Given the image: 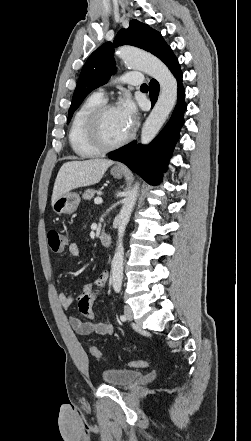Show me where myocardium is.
<instances>
[{"label": "myocardium", "instance_id": "obj_1", "mask_svg": "<svg viewBox=\"0 0 251 441\" xmlns=\"http://www.w3.org/2000/svg\"><path fill=\"white\" fill-rule=\"evenodd\" d=\"M115 108L116 106L114 104L104 102L91 112L87 120L86 131L88 139L90 143L101 152L118 149L127 144L133 137V133L129 131L124 138L115 143H108L104 139L101 131L102 118L107 111Z\"/></svg>", "mask_w": 251, "mask_h": 441}]
</instances>
